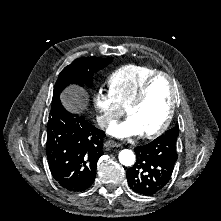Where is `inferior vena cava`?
Segmentation results:
<instances>
[{"mask_svg":"<svg viewBox=\"0 0 221 221\" xmlns=\"http://www.w3.org/2000/svg\"><path fill=\"white\" fill-rule=\"evenodd\" d=\"M97 122L100 127H107L112 122V119L106 115H101L97 117Z\"/></svg>","mask_w":221,"mask_h":221,"instance_id":"602c4592","label":"inferior vena cava"}]
</instances>
